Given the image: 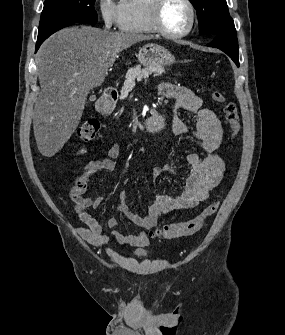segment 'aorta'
<instances>
[{
  "label": "aorta",
  "instance_id": "aorta-1",
  "mask_svg": "<svg viewBox=\"0 0 285 335\" xmlns=\"http://www.w3.org/2000/svg\"><path fill=\"white\" fill-rule=\"evenodd\" d=\"M152 133L153 134H158L159 133V128L158 127H153L152 128Z\"/></svg>",
  "mask_w": 285,
  "mask_h": 335
}]
</instances>
